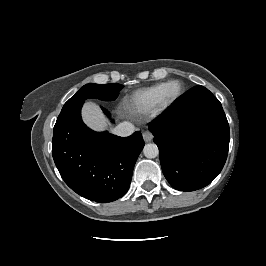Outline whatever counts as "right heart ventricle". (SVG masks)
I'll list each match as a JSON object with an SVG mask.
<instances>
[{
	"label": "right heart ventricle",
	"instance_id": "obj_1",
	"mask_svg": "<svg viewBox=\"0 0 266 266\" xmlns=\"http://www.w3.org/2000/svg\"><path fill=\"white\" fill-rule=\"evenodd\" d=\"M166 84H159L136 91L126 102L125 108L135 114L149 113L160 107Z\"/></svg>",
	"mask_w": 266,
	"mask_h": 266
}]
</instances>
